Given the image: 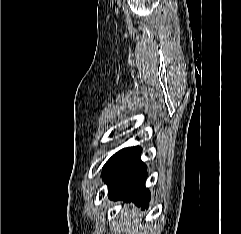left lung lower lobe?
Segmentation results:
<instances>
[{"label": "left lung lower lobe", "mask_w": 241, "mask_h": 234, "mask_svg": "<svg viewBox=\"0 0 241 234\" xmlns=\"http://www.w3.org/2000/svg\"><path fill=\"white\" fill-rule=\"evenodd\" d=\"M141 151L140 147L120 150L106 162L102 176L110 199H126L147 208L150 194L145 188L147 171L139 158Z\"/></svg>", "instance_id": "obj_1"}]
</instances>
